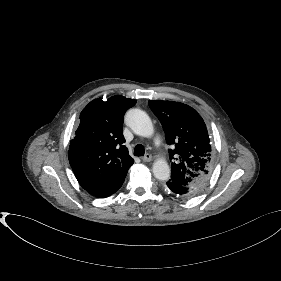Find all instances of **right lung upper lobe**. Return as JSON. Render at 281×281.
Segmentation results:
<instances>
[{
	"mask_svg": "<svg viewBox=\"0 0 281 281\" xmlns=\"http://www.w3.org/2000/svg\"><path fill=\"white\" fill-rule=\"evenodd\" d=\"M135 103L116 95L94 99L81 112L68 156L78 182L93 196L104 198L115 193L134 163L123 145L122 124L125 112Z\"/></svg>",
	"mask_w": 281,
	"mask_h": 281,
	"instance_id": "cb5924a9",
	"label": "right lung upper lobe"
}]
</instances>
